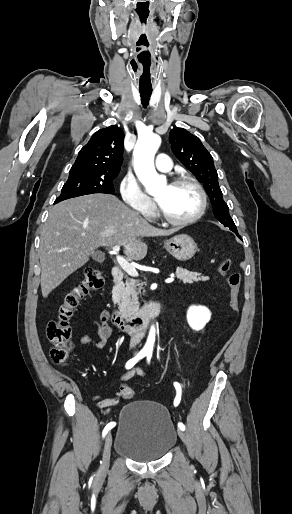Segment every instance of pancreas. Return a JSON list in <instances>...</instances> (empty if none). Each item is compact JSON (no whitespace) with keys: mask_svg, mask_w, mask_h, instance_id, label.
I'll use <instances>...</instances> for the list:
<instances>
[{"mask_svg":"<svg viewBox=\"0 0 292 514\" xmlns=\"http://www.w3.org/2000/svg\"><path fill=\"white\" fill-rule=\"evenodd\" d=\"M176 276L182 280L183 284H193V282H205L206 276L198 272H188L183 268H177ZM126 288L122 284H116L115 304L119 306V314L122 318H130L138 308V296L141 294V284L137 280H126Z\"/></svg>","mask_w":292,"mask_h":514,"instance_id":"1","label":"pancreas"}]
</instances>
